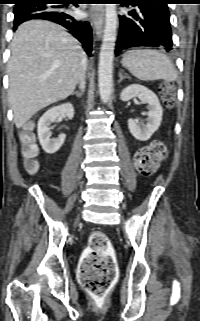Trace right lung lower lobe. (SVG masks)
Here are the masks:
<instances>
[{"instance_id":"obj_1","label":"right lung lower lobe","mask_w":200,"mask_h":321,"mask_svg":"<svg viewBox=\"0 0 200 321\" xmlns=\"http://www.w3.org/2000/svg\"><path fill=\"white\" fill-rule=\"evenodd\" d=\"M79 0H24L13 9L15 30L21 23L32 19H44L67 28L82 44L88 55L92 51V31L86 21H78L67 13L66 7ZM62 4V5H58Z\"/></svg>"}]
</instances>
